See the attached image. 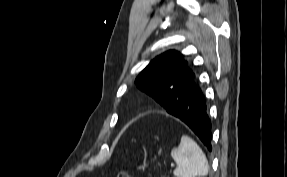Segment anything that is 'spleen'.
I'll return each instance as SVG.
<instances>
[{
    "instance_id": "spleen-1",
    "label": "spleen",
    "mask_w": 287,
    "mask_h": 177,
    "mask_svg": "<svg viewBox=\"0 0 287 177\" xmlns=\"http://www.w3.org/2000/svg\"><path fill=\"white\" fill-rule=\"evenodd\" d=\"M171 157L177 164L176 177L206 176L209 171L207 158L198 144L189 136L183 135L177 148L172 149Z\"/></svg>"
}]
</instances>
